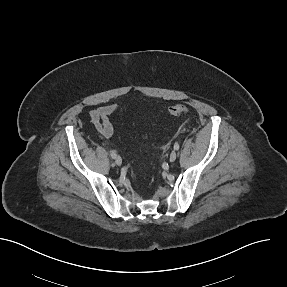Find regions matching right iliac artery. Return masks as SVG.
<instances>
[{"instance_id":"82829eb1","label":"right iliac artery","mask_w":287,"mask_h":287,"mask_svg":"<svg viewBox=\"0 0 287 287\" xmlns=\"http://www.w3.org/2000/svg\"><path fill=\"white\" fill-rule=\"evenodd\" d=\"M110 156H111L112 158H116L117 154H116V152L111 151V152H110Z\"/></svg>"}]
</instances>
